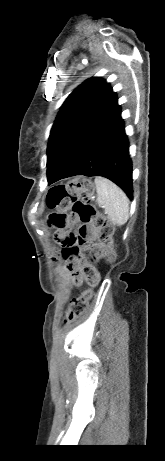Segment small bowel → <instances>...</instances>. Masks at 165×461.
Instances as JSON below:
<instances>
[{"mask_svg": "<svg viewBox=\"0 0 165 461\" xmlns=\"http://www.w3.org/2000/svg\"><path fill=\"white\" fill-rule=\"evenodd\" d=\"M96 237V225H73V229H57V233H52L56 248L62 250L57 274L65 288L82 283L84 276L81 268L86 265L82 250L87 244L90 246Z\"/></svg>", "mask_w": 165, "mask_h": 461, "instance_id": "c3829d8e", "label": "small bowel"}]
</instances>
